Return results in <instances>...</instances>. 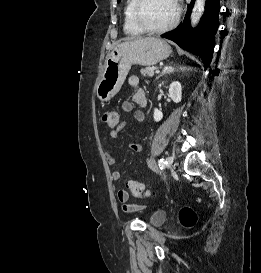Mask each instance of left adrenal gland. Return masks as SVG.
Masks as SVG:
<instances>
[{
    "label": "left adrenal gland",
    "mask_w": 261,
    "mask_h": 273,
    "mask_svg": "<svg viewBox=\"0 0 261 273\" xmlns=\"http://www.w3.org/2000/svg\"><path fill=\"white\" fill-rule=\"evenodd\" d=\"M182 69V68H181ZM174 68L172 66H165L164 69L162 70L161 74L158 75V77L156 79H159L161 76L165 75L166 73H172L174 72Z\"/></svg>",
    "instance_id": "left-adrenal-gland-1"
}]
</instances>
